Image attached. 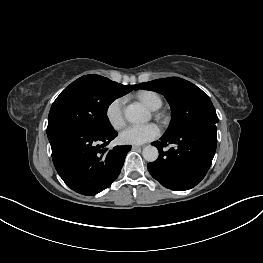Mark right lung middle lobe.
I'll use <instances>...</instances> for the list:
<instances>
[{
    "label": "right lung middle lobe",
    "instance_id": "obj_1",
    "mask_svg": "<svg viewBox=\"0 0 263 263\" xmlns=\"http://www.w3.org/2000/svg\"><path fill=\"white\" fill-rule=\"evenodd\" d=\"M124 94L95 77H80L54 101L48 116L47 132L60 127L112 130L107 117L109 105Z\"/></svg>",
    "mask_w": 263,
    "mask_h": 263
}]
</instances>
